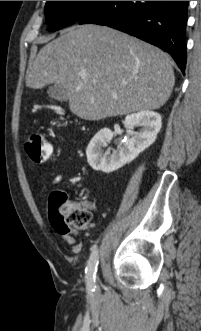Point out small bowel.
Returning a JSON list of instances; mask_svg holds the SVG:
<instances>
[{
  "instance_id": "c3829d8e",
  "label": "small bowel",
  "mask_w": 201,
  "mask_h": 331,
  "mask_svg": "<svg viewBox=\"0 0 201 331\" xmlns=\"http://www.w3.org/2000/svg\"><path fill=\"white\" fill-rule=\"evenodd\" d=\"M63 181V175L58 174L55 176L53 181L51 182V185H58ZM59 234L62 236V238L72 247V250L74 253H78L81 250V244L77 241L76 235L74 232H72L67 227H61L58 229Z\"/></svg>"
}]
</instances>
